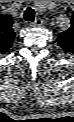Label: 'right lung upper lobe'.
I'll use <instances>...</instances> for the list:
<instances>
[{
  "instance_id": "1",
  "label": "right lung upper lobe",
  "mask_w": 74,
  "mask_h": 122,
  "mask_svg": "<svg viewBox=\"0 0 74 122\" xmlns=\"http://www.w3.org/2000/svg\"><path fill=\"white\" fill-rule=\"evenodd\" d=\"M12 24L13 20L10 15L0 14V54L6 53L12 45L15 37Z\"/></svg>"
}]
</instances>
